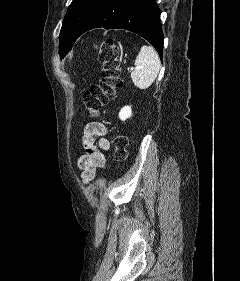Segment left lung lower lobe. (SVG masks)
<instances>
[{"mask_svg": "<svg viewBox=\"0 0 240 281\" xmlns=\"http://www.w3.org/2000/svg\"><path fill=\"white\" fill-rule=\"evenodd\" d=\"M160 13L155 0H102L79 36L99 27L126 29L145 38L162 57L164 36Z\"/></svg>", "mask_w": 240, "mask_h": 281, "instance_id": "left-lung-lower-lobe-1", "label": "left lung lower lobe"}]
</instances>
